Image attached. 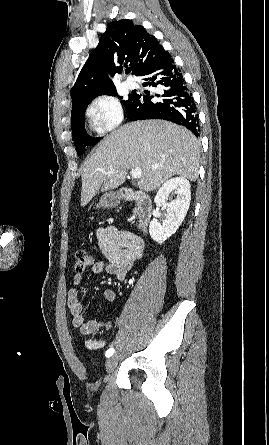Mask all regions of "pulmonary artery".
<instances>
[{
	"label": "pulmonary artery",
	"instance_id": "1",
	"mask_svg": "<svg viewBox=\"0 0 269 445\" xmlns=\"http://www.w3.org/2000/svg\"><path fill=\"white\" fill-rule=\"evenodd\" d=\"M125 85H126L127 88L132 89V88H134L136 86V83L134 81H132V80L127 79L125 81Z\"/></svg>",
	"mask_w": 269,
	"mask_h": 445
}]
</instances>
